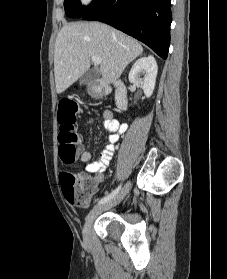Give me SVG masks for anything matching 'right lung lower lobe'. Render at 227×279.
I'll list each match as a JSON object with an SVG mask.
<instances>
[{
	"label": "right lung lower lobe",
	"mask_w": 227,
	"mask_h": 279,
	"mask_svg": "<svg viewBox=\"0 0 227 279\" xmlns=\"http://www.w3.org/2000/svg\"><path fill=\"white\" fill-rule=\"evenodd\" d=\"M82 18L107 23L167 58L171 0H95Z\"/></svg>",
	"instance_id": "right-lung-lower-lobe-1"
}]
</instances>
